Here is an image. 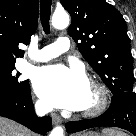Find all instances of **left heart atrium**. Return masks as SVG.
Segmentation results:
<instances>
[{"mask_svg": "<svg viewBox=\"0 0 136 136\" xmlns=\"http://www.w3.org/2000/svg\"><path fill=\"white\" fill-rule=\"evenodd\" d=\"M88 80L78 68L57 64L40 68L34 78V88L46 103L70 110L83 108L88 91Z\"/></svg>", "mask_w": 136, "mask_h": 136, "instance_id": "1", "label": "left heart atrium"}]
</instances>
